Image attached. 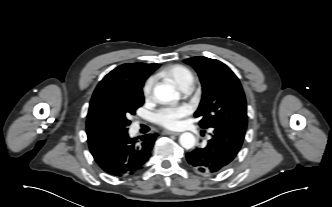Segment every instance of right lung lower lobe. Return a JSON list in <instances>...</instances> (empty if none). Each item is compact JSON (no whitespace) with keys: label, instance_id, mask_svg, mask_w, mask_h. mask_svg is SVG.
Here are the masks:
<instances>
[{"label":"right lung lower lobe","instance_id":"98d812e1","mask_svg":"<svg viewBox=\"0 0 332 207\" xmlns=\"http://www.w3.org/2000/svg\"><path fill=\"white\" fill-rule=\"evenodd\" d=\"M157 134L130 138L128 130L108 132L88 139L90 152L108 174L122 177L134 174L150 158Z\"/></svg>","mask_w":332,"mask_h":207}]
</instances>
